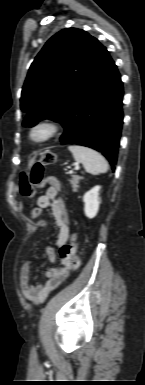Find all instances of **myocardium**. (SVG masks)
Wrapping results in <instances>:
<instances>
[{"label":"myocardium","mask_w":145,"mask_h":385,"mask_svg":"<svg viewBox=\"0 0 145 385\" xmlns=\"http://www.w3.org/2000/svg\"><path fill=\"white\" fill-rule=\"evenodd\" d=\"M58 131V124L53 121L43 120L30 128L28 136L34 144H44L55 137Z\"/></svg>","instance_id":"obj_1"}]
</instances>
